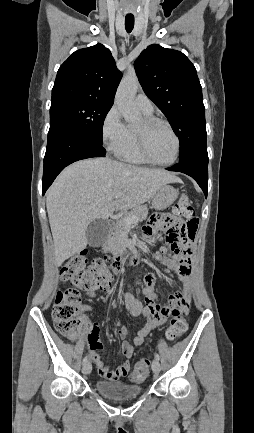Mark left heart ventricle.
Masks as SVG:
<instances>
[{
    "instance_id": "obj_1",
    "label": "left heart ventricle",
    "mask_w": 254,
    "mask_h": 433,
    "mask_svg": "<svg viewBox=\"0 0 254 433\" xmlns=\"http://www.w3.org/2000/svg\"><path fill=\"white\" fill-rule=\"evenodd\" d=\"M137 131H145L149 152L155 160L168 162L173 159L176 151V142L166 127L158 125L146 129L143 121L137 128Z\"/></svg>"
}]
</instances>
